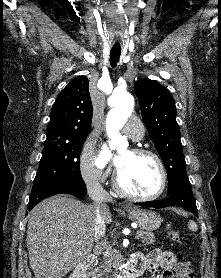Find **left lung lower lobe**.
<instances>
[{
	"label": "left lung lower lobe",
	"mask_w": 221,
	"mask_h": 278,
	"mask_svg": "<svg viewBox=\"0 0 221 278\" xmlns=\"http://www.w3.org/2000/svg\"><path fill=\"white\" fill-rule=\"evenodd\" d=\"M137 204L146 207H168L178 205L198 216L195 198L189 183L179 185L170 194H168V197L165 199L160 201L140 202Z\"/></svg>",
	"instance_id": "obj_1"
}]
</instances>
